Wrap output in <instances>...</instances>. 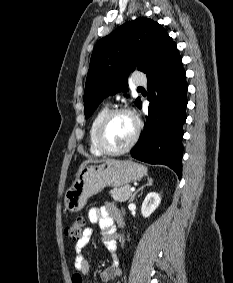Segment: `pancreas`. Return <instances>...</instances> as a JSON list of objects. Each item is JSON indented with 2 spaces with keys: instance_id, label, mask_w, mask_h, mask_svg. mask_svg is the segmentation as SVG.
I'll return each instance as SVG.
<instances>
[{
  "instance_id": "cf45deb5",
  "label": "pancreas",
  "mask_w": 233,
  "mask_h": 283,
  "mask_svg": "<svg viewBox=\"0 0 233 283\" xmlns=\"http://www.w3.org/2000/svg\"><path fill=\"white\" fill-rule=\"evenodd\" d=\"M110 195L112 198L118 202H125L132 197V192L130 191L129 185H124L119 188H114L110 190Z\"/></svg>"
}]
</instances>
